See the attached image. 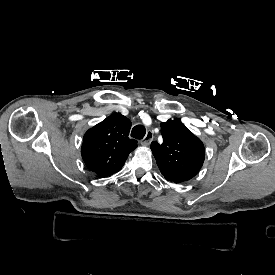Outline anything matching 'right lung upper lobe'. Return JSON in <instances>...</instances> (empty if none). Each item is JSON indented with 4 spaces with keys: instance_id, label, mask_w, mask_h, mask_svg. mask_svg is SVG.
<instances>
[{
    "instance_id": "cb5924a9",
    "label": "right lung upper lobe",
    "mask_w": 275,
    "mask_h": 275,
    "mask_svg": "<svg viewBox=\"0 0 275 275\" xmlns=\"http://www.w3.org/2000/svg\"><path fill=\"white\" fill-rule=\"evenodd\" d=\"M130 128L127 117L113 113L89 129L81 148L87 168L103 178L117 173L137 147V141L129 138Z\"/></svg>"
}]
</instances>
